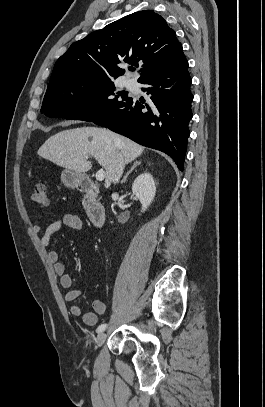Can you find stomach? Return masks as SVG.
Returning a JSON list of instances; mask_svg holds the SVG:
<instances>
[{
    "label": "stomach",
    "mask_w": 265,
    "mask_h": 407,
    "mask_svg": "<svg viewBox=\"0 0 265 407\" xmlns=\"http://www.w3.org/2000/svg\"><path fill=\"white\" fill-rule=\"evenodd\" d=\"M84 179V174L75 172L70 169H65L61 173V181L68 188H77L81 186Z\"/></svg>",
    "instance_id": "0dacf381"
}]
</instances>
